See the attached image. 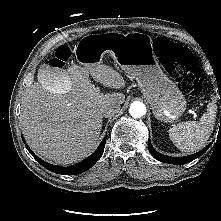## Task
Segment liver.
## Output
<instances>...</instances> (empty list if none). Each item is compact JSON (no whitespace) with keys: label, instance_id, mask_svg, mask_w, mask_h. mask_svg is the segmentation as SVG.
<instances>
[{"label":"liver","instance_id":"1","mask_svg":"<svg viewBox=\"0 0 221 221\" xmlns=\"http://www.w3.org/2000/svg\"><path fill=\"white\" fill-rule=\"evenodd\" d=\"M104 86H125L118 72L103 64L90 69ZM63 87L56 91L49 85L58 80L55 70L41 65L38 82L29 86L21 106L20 123L29 146L39 156L60 165H69L88 156L96 147L101 133L103 107L121 105L123 93L101 94L92 85L89 71L73 65L62 73Z\"/></svg>","mask_w":221,"mask_h":221}]
</instances>
